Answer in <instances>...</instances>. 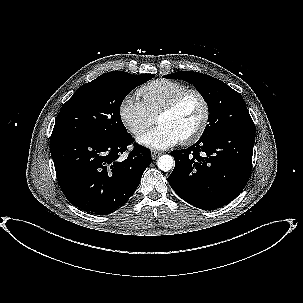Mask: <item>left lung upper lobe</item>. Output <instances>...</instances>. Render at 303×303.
Instances as JSON below:
<instances>
[{
    "instance_id": "obj_1",
    "label": "left lung upper lobe",
    "mask_w": 303,
    "mask_h": 303,
    "mask_svg": "<svg viewBox=\"0 0 303 303\" xmlns=\"http://www.w3.org/2000/svg\"><path fill=\"white\" fill-rule=\"evenodd\" d=\"M163 77L182 79L193 84L207 102L209 124L201 139L232 129L255 128L241 94L224 82L192 71H180Z\"/></svg>"
}]
</instances>
